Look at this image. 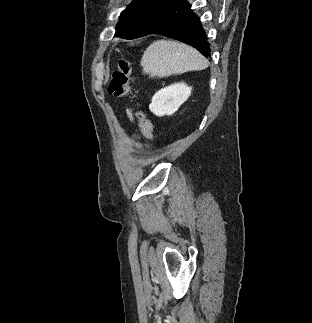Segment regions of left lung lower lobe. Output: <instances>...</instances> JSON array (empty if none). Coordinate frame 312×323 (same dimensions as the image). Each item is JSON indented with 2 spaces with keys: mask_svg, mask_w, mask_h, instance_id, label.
Instances as JSON below:
<instances>
[{
  "mask_svg": "<svg viewBox=\"0 0 312 323\" xmlns=\"http://www.w3.org/2000/svg\"><path fill=\"white\" fill-rule=\"evenodd\" d=\"M149 34H159L184 42L195 47L205 57H210L206 33L187 0H173L171 11L153 25L146 35Z\"/></svg>",
  "mask_w": 312,
  "mask_h": 323,
  "instance_id": "0a47b994",
  "label": "left lung lower lobe"
}]
</instances>
